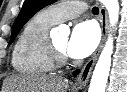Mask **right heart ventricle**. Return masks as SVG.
<instances>
[{"label": "right heart ventricle", "instance_id": "e07e8e85", "mask_svg": "<svg viewBox=\"0 0 127 92\" xmlns=\"http://www.w3.org/2000/svg\"><path fill=\"white\" fill-rule=\"evenodd\" d=\"M55 24L46 10L27 21L12 52V66L18 73L45 75L56 70L48 49L49 30Z\"/></svg>", "mask_w": 127, "mask_h": 92}]
</instances>
